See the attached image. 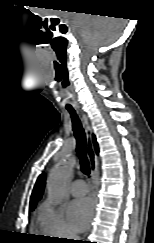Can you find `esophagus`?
Masks as SVG:
<instances>
[{"label": "esophagus", "instance_id": "obj_1", "mask_svg": "<svg viewBox=\"0 0 154 243\" xmlns=\"http://www.w3.org/2000/svg\"><path fill=\"white\" fill-rule=\"evenodd\" d=\"M86 136H87V156L89 159L92 182L94 189L96 188V178L98 176V158L94 150L93 139H92V130L89 125H86L85 128ZM95 213V203L93 204V216Z\"/></svg>", "mask_w": 154, "mask_h": 243}]
</instances>
